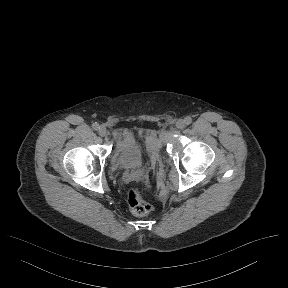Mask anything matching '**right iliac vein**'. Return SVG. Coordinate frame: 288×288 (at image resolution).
<instances>
[{"instance_id": "63e3f726", "label": "right iliac vein", "mask_w": 288, "mask_h": 288, "mask_svg": "<svg viewBox=\"0 0 288 288\" xmlns=\"http://www.w3.org/2000/svg\"><path fill=\"white\" fill-rule=\"evenodd\" d=\"M99 135L104 137L107 135V129L104 126H101L98 131Z\"/></svg>"}]
</instances>
